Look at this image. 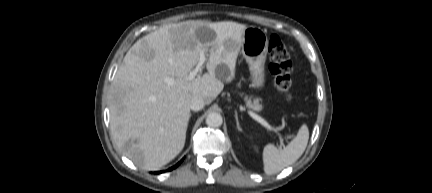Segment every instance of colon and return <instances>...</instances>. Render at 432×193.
<instances>
[{"mask_svg": "<svg viewBox=\"0 0 432 193\" xmlns=\"http://www.w3.org/2000/svg\"><path fill=\"white\" fill-rule=\"evenodd\" d=\"M268 54L275 87L287 100H291L292 62L285 44L277 35H272L269 40Z\"/></svg>", "mask_w": 432, "mask_h": 193, "instance_id": "5ec220e1", "label": "colon"}]
</instances>
